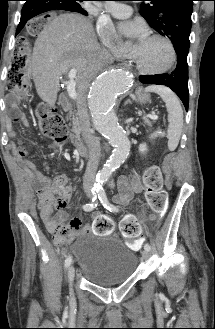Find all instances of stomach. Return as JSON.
Here are the masks:
<instances>
[{
	"label": "stomach",
	"mask_w": 215,
	"mask_h": 329,
	"mask_svg": "<svg viewBox=\"0 0 215 329\" xmlns=\"http://www.w3.org/2000/svg\"><path fill=\"white\" fill-rule=\"evenodd\" d=\"M136 96H137V100L140 102V103H146L150 100V97L148 94L144 93L141 89H139L137 92H136Z\"/></svg>",
	"instance_id": "0dacf381"
}]
</instances>
